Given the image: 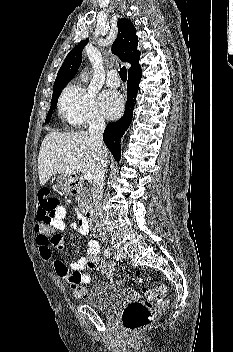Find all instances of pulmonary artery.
Listing matches in <instances>:
<instances>
[{"label": "pulmonary artery", "mask_w": 233, "mask_h": 352, "mask_svg": "<svg viewBox=\"0 0 233 352\" xmlns=\"http://www.w3.org/2000/svg\"><path fill=\"white\" fill-rule=\"evenodd\" d=\"M106 83L110 87H118L120 85V80L115 70H111L108 72Z\"/></svg>", "instance_id": "pulmonary-artery-1"}]
</instances>
